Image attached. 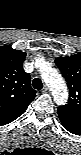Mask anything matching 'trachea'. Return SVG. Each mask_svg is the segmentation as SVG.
I'll use <instances>...</instances> for the list:
<instances>
[{
  "mask_svg": "<svg viewBox=\"0 0 81 155\" xmlns=\"http://www.w3.org/2000/svg\"><path fill=\"white\" fill-rule=\"evenodd\" d=\"M32 86H33V88H35L37 90H41L43 88V83H42L41 79L35 78L32 81Z\"/></svg>",
  "mask_w": 81,
  "mask_h": 155,
  "instance_id": "trachea-1",
  "label": "trachea"
}]
</instances>
